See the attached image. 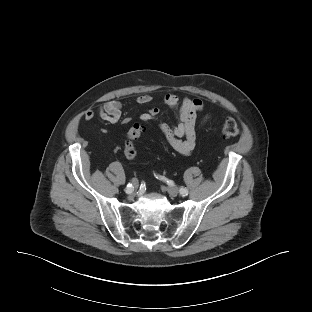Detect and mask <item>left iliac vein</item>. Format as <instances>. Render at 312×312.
I'll return each instance as SVG.
<instances>
[{"mask_svg": "<svg viewBox=\"0 0 312 312\" xmlns=\"http://www.w3.org/2000/svg\"><path fill=\"white\" fill-rule=\"evenodd\" d=\"M167 192H168V194H169L171 197H176V196L178 195V193H179V190H178V188L175 187V186H169V187L167 188Z\"/></svg>", "mask_w": 312, "mask_h": 312, "instance_id": "obj_1", "label": "left iliac vein"}]
</instances>
